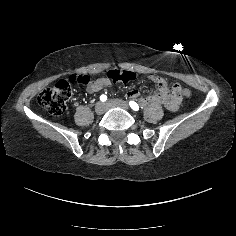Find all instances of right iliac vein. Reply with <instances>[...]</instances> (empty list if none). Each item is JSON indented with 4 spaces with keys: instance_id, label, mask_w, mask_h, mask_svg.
Listing matches in <instances>:
<instances>
[{
    "instance_id": "1",
    "label": "right iliac vein",
    "mask_w": 236,
    "mask_h": 236,
    "mask_svg": "<svg viewBox=\"0 0 236 236\" xmlns=\"http://www.w3.org/2000/svg\"><path fill=\"white\" fill-rule=\"evenodd\" d=\"M107 106L106 104L102 103V102H98L96 103L95 107H94V111L97 115H102L106 112Z\"/></svg>"
}]
</instances>
